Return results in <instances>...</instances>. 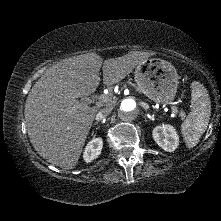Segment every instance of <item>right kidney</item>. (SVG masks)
I'll list each match as a JSON object with an SVG mask.
<instances>
[{
  "label": "right kidney",
  "mask_w": 221,
  "mask_h": 221,
  "mask_svg": "<svg viewBox=\"0 0 221 221\" xmlns=\"http://www.w3.org/2000/svg\"><path fill=\"white\" fill-rule=\"evenodd\" d=\"M103 147V140L101 138H94L92 139L86 146L84 153H83V158L84 161L89 163L96 159L102 150Z\"/></svg>",
  "instance_id": "right-kidney-1"
}]
</instances>
